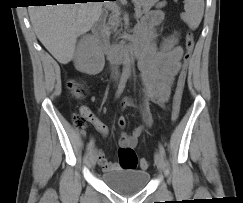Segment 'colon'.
Returning <instances> with one entry per match:
<instances>
[{"mask_svg": "<svg viewBox=\"0 0 243 203\" xmlns=\"http://www.w3.org/2000/svg\"><path fill=\"white\" fill-rule=\"evenodd\" d=\"M195 40L194 35L191 31H188L185 36V47L186 53L184 55V65L181 69L173 100L171 119L173 122H176L180 115L182 95L184 92L186 78H187V63L191 57V53L194 49ZM70 95L73 98H80L85 95L86 89L84 82L79 79H71L67 83ZM90 121V113L87 109L82 108L79 112L74 115V123L76 128L82 132L87 127L88 122ZM119 164L122 169H135L138 165V159L136 153L132 147H120L118 150ZM139 166L142 169L148 167V162L146 159H141Z\"/></svg>", "mask_w": 243, "mask_h": 203, "instance_id": "1", "label": "colon"}]
</instances>
